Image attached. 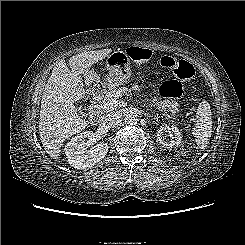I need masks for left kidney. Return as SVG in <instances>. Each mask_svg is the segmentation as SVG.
<instances>
[{
	"mask_svg": "<svg viewBox=\"0 0 245 245\" xmlns=\"http://www.w3.org/2000/svg\"><path fill=\"white\" fill-rule=\"evenodd\" d=\"M170 137V139L168 138ZM181 133L177 126L160 127L157 132V140L165 148H172L173 146H181Z\"/></svg>",
	"mask_w": 245,
	"mask_h": 245,
	"instance_id": "1",
	"label": "left kidney"
}]
</instances>
